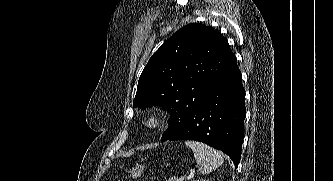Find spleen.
<instances>
[{
	"label": "spleen",
	"mask_w": 333,
	"mask_h": 181,
	"mask_svg": "<svg viewBox=\"0 0 333 181\" xmlns=\"http://www.w3.org/2000/svg\"><path fill=\"white\" fill-rule=\"evenodd\" d=\"M185 144L192 149L201 174L210 173L224 162L223 154L206 144L190 140H187Z\"/></svg>",
	"instance_id": "obj_1"
}]
</instances>
